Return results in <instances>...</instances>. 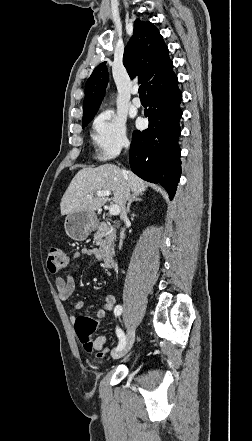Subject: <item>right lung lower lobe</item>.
Listing matches in <instances>:
<instances>
[{
    "label": "right lung lower lobe",
    "instance_id": "obj_1",
    "mask_svg": "<svg viewBox=\"0 0 252 441\" xmlns=\"http://www.w3.org/2000/svg\"><path fill=\"white\" fill-rule=\"evenodd\" d=\"M177 76L171 62L160 80L147 90L149 128L136 130L130 147V166L142 179L160 183L174 197L181 174L179 120L182 116Z\"/></svg>",
    "mask_w": 252,
    "mask_h": 441
}]
</instances>
